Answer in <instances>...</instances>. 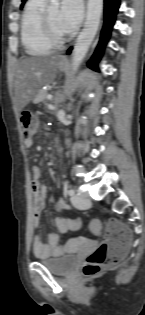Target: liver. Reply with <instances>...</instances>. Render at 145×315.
Segmentation results:
<instances>
[{
  "mask_svg": "<svg viewBox=\"0 0 145 315\" xmlns=\"http://www.w3.org/2000/svg\"><path fill=\"white\" fill-rule=\"evenodd\" d=\"M61 59L60 55H50L26 57L21 60L16 72L13 100L16 112L36 99L44 85L54 81Z\"/></svg>",
  "mask_w": 145,
  "mask_h": 315,
  "instance_id": "6515ba94",
  "label": "liver"
}]
</instances>
